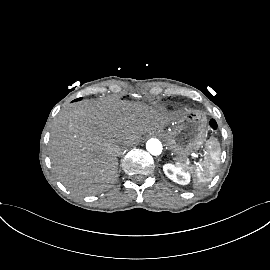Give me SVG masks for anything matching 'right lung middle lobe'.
I'll return each instance as SVG.
<instances>
[{"label":"right lung middle lobe","mask_w":270,"mask_h":270,"mask_svg":"<svg viewBox=\"0 0 270 270\" xmlns=\"http://www.w3.org/2000/svg\"><path fill=\"white\" fill-rule=\"evenodd\" d=\"M81 100V98L76 99L75 101Z\"/></svg>","instance_id":"obj_1"}]
</instances>
